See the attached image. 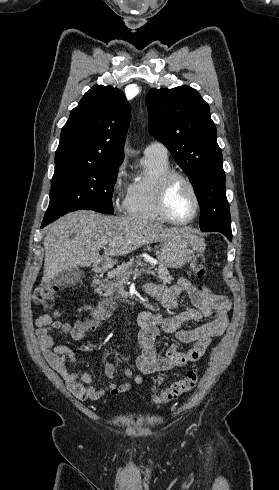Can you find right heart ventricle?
<instances>
[{"instance_id":"obj_1","label":"right heart ventricle","mask_w":279,"mask_h":490,"mask_svg":"<svg viewBox=\"0 0 279 490\" xmlns=\"http://www.w3.org/2000/svg\"><path fill=\"white\" fill-rule=\"evenodd\" d=\"M143 165L146 175L131 185L126 213L142 221L168 223L159 211L157 197L162 176L172 170L169 159L145 156Z\"/></svg>"}]
</instances>
